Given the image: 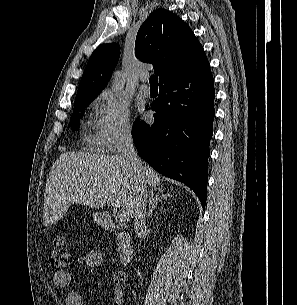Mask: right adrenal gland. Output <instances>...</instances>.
I'll list each match as a JSON object with an SVG mask.
<instances>
[{
    "label": "right adrenal gland",
    "instance_id": "1",
    "mask_svg": "<svg viewBox=\"0 0 297 305\" xmlns=\"http://www.w3.org/2000/svg\"><path fill=\"white\" fill-rule=\"evenodd\" d=\"M163 190H159L157 193H154L153 191L150 192V198H149V210L147 212L146 217H150V215L153 213L154 209L156 208L157 204L163 200L167 199V197L172 196L170 193L163 194Z\"/></svg>",
    "mask_w": 297,
    "mask_h": 305
}]
</instances>
